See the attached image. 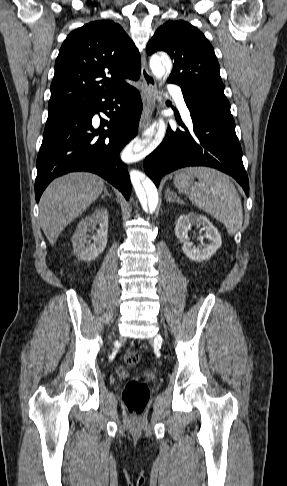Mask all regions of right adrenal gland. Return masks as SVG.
Here are the masks:
<instances>
[{"instance_id": "obj_1", "label": "right adrenal gland", "mask_w": 287, "mask_h": 486, "mask_svg": "<svg viewBox=\"0 0 287 486\" xmlns=\"http://www.w3.org/2000/svg\"><path fill=\"white\" fill-rule=\"evenodd\" d=\"M105 196L111 197V194L108 192L107 187H104V195H102V198H104Z\"/></svg>"}]
</instances>
